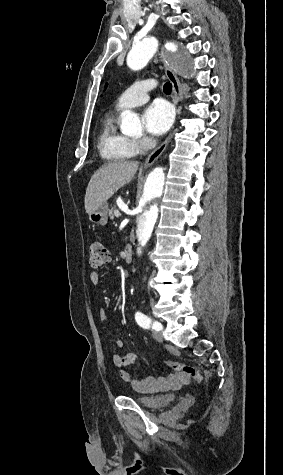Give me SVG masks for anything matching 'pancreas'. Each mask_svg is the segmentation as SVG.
Here are the masks:
<instances>
[{"label": "pancreas", "mask_w": 283, "mask_h": 475, "mask_svg": "<svg viewBox=\"0 0 283 475\" xmlns=\"http://www.w3.org/2000/svg\"><path fill=\"white\" fill-rule=\"evenodd\" d=\"M115 210H116L115 206H112V210H111V212H110V214H109L111 220H113V218H114V216H115V214H112V212H115Z\"/></svg>", "instance_id": "obj_1"}]
</instances>
